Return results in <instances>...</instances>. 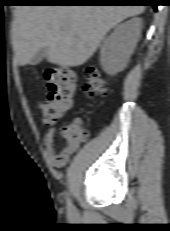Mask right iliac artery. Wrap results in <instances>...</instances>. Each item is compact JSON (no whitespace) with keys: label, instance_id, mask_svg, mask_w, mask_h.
I'll use <instances>...</instances> for the list:
<instances>
[{"label":"right iliac artery","instance_id":"1","mask_svg":"<svg viewBox=\"0 0 170 231\" xmlns=\"http://www.w3.org/2000/svg\"><path fill=\"white\" fill-rule=\"evenodd\" d=\"M67 207L69 210L72 209V203H71V200L69 198L67 199Z\"/></svg>","mask_w":170,"mask_h":231}]
</instances>
